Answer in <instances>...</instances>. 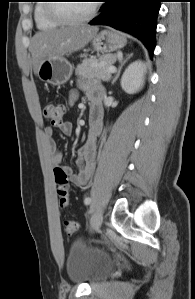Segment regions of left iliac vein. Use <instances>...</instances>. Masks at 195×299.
Masks as SVG:
<instances>
[{
    "instance_id": "4c4485c4",
    "label": "left iliac vein",
    "mask_w": 195,
    "mask_h": 299,
    "mask_svg": "<svg viewBox=\"0 0 195 299\" xmlns=\"http://www.w3.org/2000/svg\"><path fill=\"white\" fill-rule=\"evenodd\" d=\"M102 220H103L102 212L100 210L94 212L90 221L92 229L97 231L102 224Z\"/></svg>"
}]
</instances>
